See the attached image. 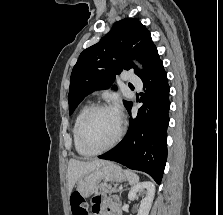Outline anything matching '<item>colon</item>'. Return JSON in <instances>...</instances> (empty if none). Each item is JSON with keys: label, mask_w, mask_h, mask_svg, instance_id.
Listing matches in <instances>:
<instances>
[{"label": "colon", "mask_w": 223, "mask_h": 215, "mask_svg": "<svg viewBox=\"0 0 223 215\" xmlns=\"http://www.w3.org/2000/svg\"><path fill=\"white\" fill-rule=\"evenodd\" d=\"M72 215H87V208L83 197L74 192L70 198Z\"/></svg>", "instance_id": "obj_1"}]
</instances>
